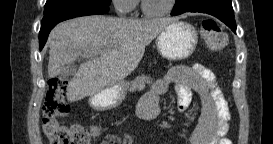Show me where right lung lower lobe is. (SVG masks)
<instances>
[{"instance_id":"obj_1","label":"right lung lower lobe","mask_w":273,"mask_h":144,"mask_svg":"<svg viewBox=\"0 0 273 144\" xmlns=\"http://www.w3.org/2000/svg\"><path fill=\"white\" fill-rule=\"evenodd\" d=\"M109 5L100 2H64L51 7L44 12L39 33L40 50L44 47L51 29L59 22L86 15L105 14Z\"/></svg>"}]
</instances>
